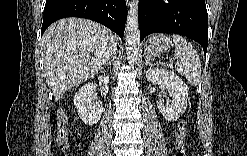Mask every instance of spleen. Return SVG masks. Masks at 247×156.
<instances>
[{"instance_id":"spleen-1","label":"spleen","mask_w":247,"mask_h":156,"mask_svg":"<svg viewBox=\"0 0 247 156\" xmlns=\"http://www.w3.org/2000/svg\"><path fill=\"white\" fill-rule=\"evenodd\" d=\"M172 38L175 44L174 64L180 75L186 77L188 83L192 86L199 84L201 79V62L197 51L184 37L173 34Z\"/></svg>"}]
</instances>
